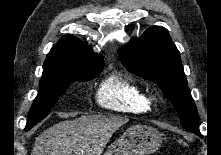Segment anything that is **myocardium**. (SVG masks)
Masks as SVG:
<instances>
[{
  "label": "myocardium",
  "mask_w": 221,
  "mask_h": 155,
  "mask_svg": "<svg viewBox=\"0 0 221 155\" xmlns=\"http://www.w3.org/2000/svg\"><path fill=\"white\" fill-rule=\"evenodd\" d=\"M149 101H150V103H151V102L156 103V102H158V97L155 96V95H152V96L149 98Z\"/></svg>",
  "instance_id": "obj_1"
}]
</instances>
